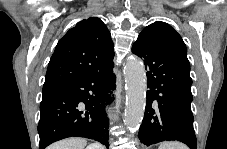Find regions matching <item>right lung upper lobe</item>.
<instances>
[{"label": "right lung upper lobe", "mask_w": 227, "mask_h": 149, "mask_svg": "<svg viewBox=\"0 0 227 149\" xmlns=\"http://www.w3.org/2000/svg\"><path fill=\"white\" fill-rule=\"evenodd\" d=\"M110 32L96 17L82 20L57 43L48 64L43 89L74 81L113 59Z\"/></svg>", "instance_id": "1"}]
</instances>
